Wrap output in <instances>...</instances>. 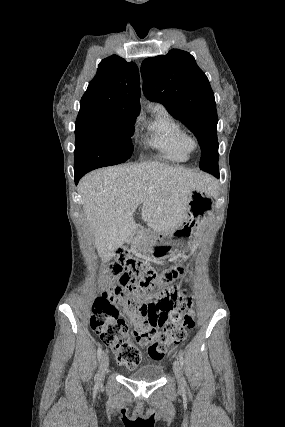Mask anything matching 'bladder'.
<instances>
[{
  "mask_svg": "<svg viewBox=\"0 0 285 427\" xmlns=\"http://www.w3.org/2000/svg\"><path fill=\"white\" fill-rule=\"evenodd\" d=\"M163 374V368L158 364H147L130 373L128 378L141 383L156 382Z\"/></svg>",
  "mask_w": 285,
  "mask_h": 427,
  "instance_id": "obj_1",
  "label": "bladder"
}]
</instances>
